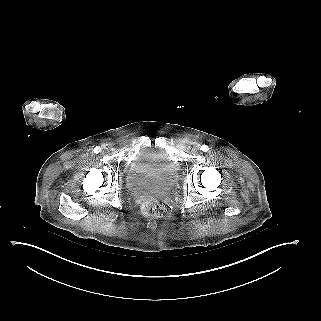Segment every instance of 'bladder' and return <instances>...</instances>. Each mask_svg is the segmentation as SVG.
Returning <instances> with one entry per match:
<instances>
[{"instance_id": "bladder-1", "label": "bladder", "mask_w": 321, "mask_h": 321, "mask_svg": "<svg viewBox=\"0 0 321 321\" xmlns=\"http://www.w3.org/2000/svg\"><path fill=\"white\" fill-rule=\"evenodd\" d=\"M179 180V167L158 146L142 148L126 172V186L131 192L168 191Z\"/></svg>"}]
</instances>
